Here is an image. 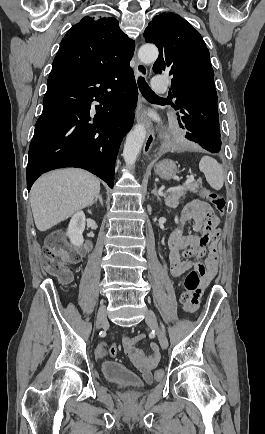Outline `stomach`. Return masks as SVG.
<instances>
[{
    "label": "stomach",
    "instance_id": "stomach-1",
    "mask_svg": "<svg viewBox=\"0 0 265 434\" xmlns=\"http://www.w3.org/2000/svg\"><path fill=\"white\" fill-rule=\"evenodd\" d=\"M177 166L173 160H162L155 166V174L162 178V180H171L176 176Z\"/></svg>",
    "mask_w": 265,
    "mask_h": 434
}]
</instances>
